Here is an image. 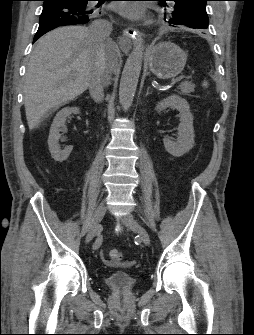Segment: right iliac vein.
<instances>
[{
	"label": "right iliac vein",
	"instance_id": "1",
	"mask_svg": "<svg viewBox=\"0 0 254 335\" xmlns=\"http://www.w3.org/2000/svg\"><path fill=\"white\" fill-rule=\"evenodd\" d=\"M105 213H106V207L104 206V204H100L94 213L90 230L86 235L85 238L86 244L90 243L93 240V238L100 232V222L102 221Z\"/></svg>",
	"mask_w": 254,
	"mask_h": 335
}]
</instances>
